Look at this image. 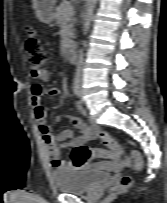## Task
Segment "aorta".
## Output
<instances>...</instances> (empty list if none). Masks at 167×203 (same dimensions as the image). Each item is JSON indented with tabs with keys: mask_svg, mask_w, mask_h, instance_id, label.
Segmentation results:
<instances>
[{
	"mask_svg": "<svg viewBox=\"0 0 167 203\" xmlns=\"http://www.w3.org/2000/svg\"><path fill=\"white\" fill-rule=\"evenodd\" d=\"M97 0H86L85 15H84V27L83 32L86 34L89 30L90 24L93 19V12L96 6Z\"/></svg>",
	"mask_w": 167,
	"mask_h": 203,
	"instance_id": "obj_1",
	"label": "aorta"
}]
</instances>
